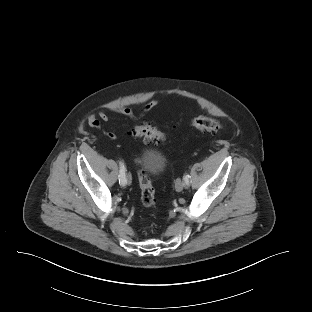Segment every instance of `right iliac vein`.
Listing matches in <instances>:
<instances>
[{"instance_id":"1","label":"right iliac vein","mask_w":312,"mask_h":312,"mask_svg":"<svg viewBox=\"0 0 312 312\" xmlns=\"http://www.w3.org/2000/svg\"><path fill=\"white\" fill-rule=\"evenodd\" d=\"M126 182L127 183H131V176H130V174L126 175Z\"/></svg>"}]
</instances>
